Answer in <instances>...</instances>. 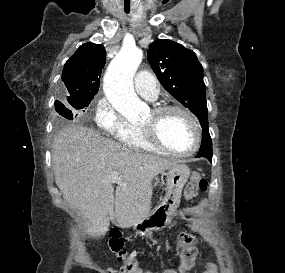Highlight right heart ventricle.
<instances>
[{
  "label": "right heart ventricle",
  "instance_id": "1",
  "mask_svg": "<svg viewBox=\"0 0 285 273\" xmlns=\"http://www.w3.org/2000/svg\"><path fill=\"white\" fill-rule=\"evenodd\" d=\"M120 142L130 149L145 151V152H159L160 150L153 147L144 138L139 126L133 125L131 130L119 138Z\"/></svg>",
  "mask_w": 285,
  "mask_h": 273
}]
</instances>
